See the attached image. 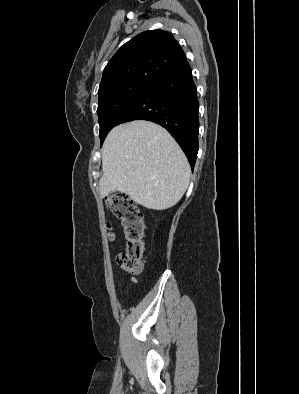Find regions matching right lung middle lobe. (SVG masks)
<instances>
[{"instance_id": "1", "label": "right lung middle lobe", "mask_w": 299, "mask_h": 394, "mask_svg": "<svg viewBox=\"0 0 299 394\" xmlns=\"http://www.w3.org/2000/svg\"><path fill=\"white\" fill-rule=\"evenodd\" d=\"M149 83H126L98 94V109L101 145L108 132L127 108L150 86Z\"/></svg>"}]
</instances>
